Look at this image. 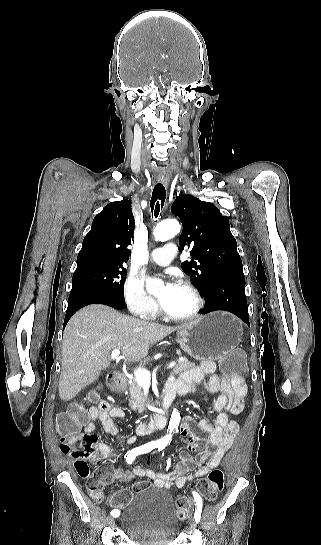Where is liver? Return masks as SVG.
<instances>
[{"mask_svg": "<svg viewBox=\"0 0 321 545\" xmlns=\"http://www.w3.org/2000/svg\"><path fill=\"white\" fill-rule=\"evenodd\" d=\"M181 327H166L127 317L106 305H88L70 319L62 341V371L59 397L74 399L82 389L97 381L109 367L111 351L121 349L128 361H141L151 345Z\"/></svg>", "mask_w": 321, "mask_h": 545, "instance_id": "1", "label": "liver"}]
</instances>
